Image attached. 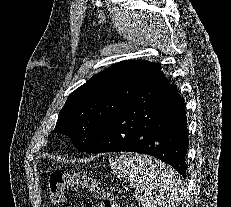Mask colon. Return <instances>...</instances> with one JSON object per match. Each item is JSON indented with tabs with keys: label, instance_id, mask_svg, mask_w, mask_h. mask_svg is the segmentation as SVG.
<instances>
[{
	"label": "colon",
	"instance_id": "5ec220e1",
	"mask_svg": "<svg viewBox=\"0 0 231 207\" xmlns=\"http://www.w3.org/2000/svg\"><path fill=\"white\" fill-rule=\"evenodd\" d=\"M79 187L86 189L96 198L101 199L100 207H115L111 193L91 176L59 170H54L49 175L50 197L54 204L64 202L68 189Z\"/></svg>",
	"mask_w": 231,
	"mask_h": 207
}]
</instances>
